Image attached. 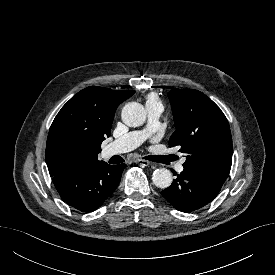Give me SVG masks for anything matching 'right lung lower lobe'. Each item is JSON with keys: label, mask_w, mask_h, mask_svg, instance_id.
Here are the masks:
<instances>
[{"label": "right lung lower lobe", "mask_w": 275, "mask_h": 275, "mask_svg": "<svg viewBox=\"0 0 275 275\" xmlns=\"http://www.w3.org/2000/svg\"><path fill=\"white\" fill-rule=\"evenodd\" d=\"M126 164L105 162L59 174L52 178L62 199L82 212H92L116 190Z\"/></svg>", "instance_id": "98d812e1"}]
</instances>
